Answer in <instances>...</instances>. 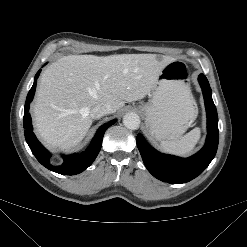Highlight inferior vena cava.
I'll return each instance as SVG.
<instances>
[{"mask_svg": "<svg viewBox=\"0 0 247 247\" xmlns=\"http://www.w3.org/2000/svg\"><path fill=\"white\" fill-rule=\"evenodd\" d=\"M114 113V109L109 104H97L90 113L92 119H99L106 114Z\"/></svg>", "mask_w": 247, "mask_h": 247, "instance_id": "obj_1", "label": "inferior vena cava"}]
</instances>
